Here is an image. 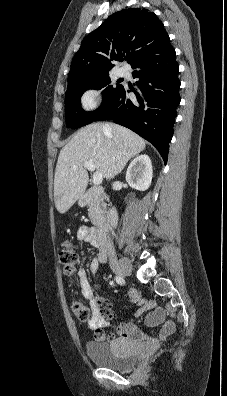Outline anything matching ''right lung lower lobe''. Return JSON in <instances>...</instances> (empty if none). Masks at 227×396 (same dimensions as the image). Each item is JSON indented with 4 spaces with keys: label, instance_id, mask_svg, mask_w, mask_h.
<instances>
[{
    "label": "right lung lower lobe",
    "instance_id": "98d812e1",
    "mask_svg": "<svg viewBox=\"0 0 227 396\" xmlns=\"http://www.w3.org/2000/svg\"><path fill=\"white\" fill-rule=\"evenodd\" d=\"M170 41L154 48L133 64V77L139 78L136 100L126 98L121 89L96 115L94 121L113 120L152 143L167 162L169 142L180 103L179 66Z\"/></svg>",
    "mask_w": 227,
    "mask_h": 396
}]
</instances>
